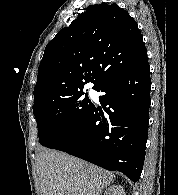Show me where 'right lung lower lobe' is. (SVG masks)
I'll use <instances>...</instances> for the list:
<instances>
[{
	"label": "right lung lower lobe",
	"instance_id": "98d812e1",
	"mask_svg": "<svg viewBox=\"0 0 178 195\" xmlns=\"http://www.w3.org/2000/svg\"><path fill=\"white\" fill-rule=\"evenodd\" d=\"M150 90L148 61L105 83L97 89L106 93L100 97L104 111L93 105L54 149L139 180L146 154Z\"/></svg>",
	"mask_w": 178,
	"mask_h": 195
}]
</instances>
